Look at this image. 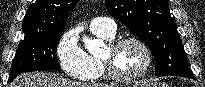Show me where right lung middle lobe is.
Returning a JSON list of instances; mask_svg holds the SVG:
<instances>
[{"instance_id": "obj_1", "label": "right lung middle lobe", "mask_w": 205, "mask_h": 87, "mask_svg": "<svg viewBox=\"0 0 205 87\" xmlns=\"http://www.w3.org/2000/svg\"><path fill=\"white\" fill-rule=\"evenodd\" d=\"M61 32L25 35L15 54L9 82L22 72L60 70L56 49Z\"/></svg>"}]
</instances>
